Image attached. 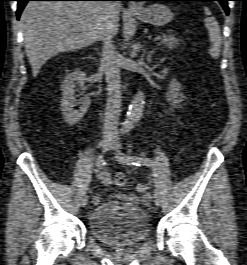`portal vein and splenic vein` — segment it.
<instances>
[{
  "instance_id": "18ae733b",
  "label": "portal vein and splenic vein",
  "mask_w": 247,
  "mask_h": 265,
  "mask_svg": "<svg viewBox=\"0 0 247 265\" xmlns=\"http://www.w3.org/2000/svg\"><path fill=\"white\" fill-rule=\"evenodd\" d=\"M162 39V36H157V37H155L154 39H153V41H159V40H161Z\"/></svg>"
}]
</instances>
